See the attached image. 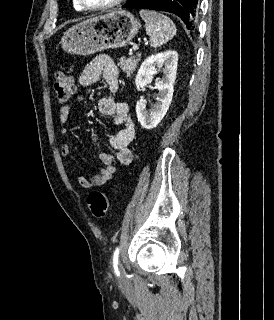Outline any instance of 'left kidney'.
Wrapping results in <instances>:
<instances>
[{
  "label": "left kidney",
  "instance_id": "left-kidney-1",
  "mask_svg": "<svg viewBox=\"0 0 274 320\" xmlns=\"http://www.w3.org/2000/svg\"><path fill=\"white\" fill-rule=\"evenodd\" d=\"M177 64V52L167 50V52H161V54H156V56H150L140 66V70H138L135 78V86L138 92H141V88H144L147 84H151L154 74H157L158 68H163L164 66L162 70L164 78H158V82H155V90L159 92L157 104L149 112L146 110L145 100H138L136 104V114L142 128H146V130L156 128L159 122L163 120L167 110H169L173 98Z\"/></svg>",
  "mask_w": 274,
  "mask_h": 320
}]
</instances>
